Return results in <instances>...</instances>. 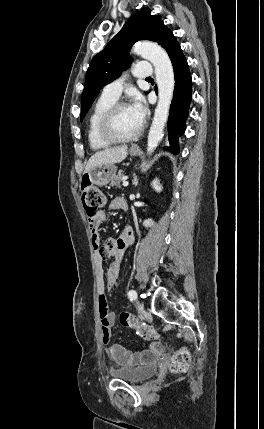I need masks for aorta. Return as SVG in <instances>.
I'll return each mask as SVG.
<instances>
[{
  "label": "aorta",
  "instance_id": "aorta-1",
  "mask_svg": "<svg viewBox=\"0 0 264 429\" xmlns=\"http://www.w3.org/2000/svg\"><path fill=\"white\" fill-rule=\"evenodd\" d=\"M132 50L149 60L155 68L158 102L147 140V153L151 154L164 135L175 85L173 66L166 51L157 43L142 41L135 44Z\"/></svg>",
  "mask_w": 264,
  "mask_h": 429
}]
</instances>
